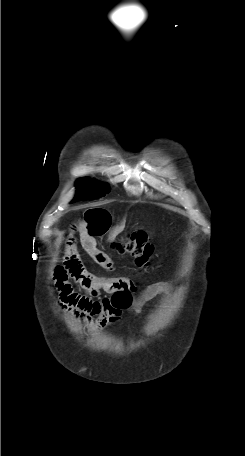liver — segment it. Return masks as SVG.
<instances>
[{
    "mask_svg": "<svg viewBox=\"0 0 245 456\" xmlns=\"http://www.w3.org/2000/svg\"><path fill=\"white\" fill-rule=\"evenodd\" d=\"M125 227V222L123 221L121 223V225L115 227L111 232H110V235H109V241H113L115 239V237L121 233L123 231Z\"/></svg>",
    "mask_w": 245,
    "mask_h": 456,
    "instance_id": "1",
    "label": "liver"
}]
</instances>
